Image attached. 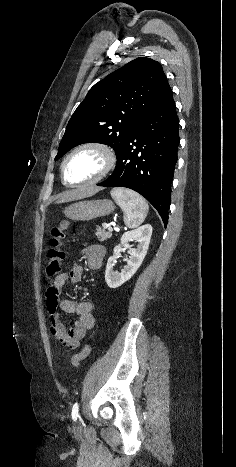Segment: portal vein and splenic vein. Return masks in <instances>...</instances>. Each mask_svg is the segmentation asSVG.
Returning a JSON list of instances; mask_svg holds the SVG:
<instances>
[{"mask_svg":"<svg viewBox=\"0 0 236 467\" xmlns=\"http://www.w3.org/2000/svg\"><path fill=\"white\" fill-rule=\"evenodd\" d=\"M109 231H113V228L111 226L108 227Z\"/></svg>","mask_w":236,"mask_h":467,"instance_id":"1","label":"portal vein and splenic vein"}]
</instances>
